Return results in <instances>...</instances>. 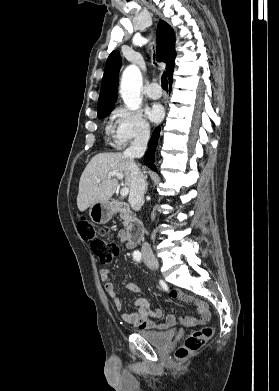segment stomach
Instances as JSON below:
<instances>
[{"label":"stomach","instance_id":"stomach-1","mask_svg":"<svg viewBox=\"0 0 279 391\" xmlns=\"http://www.w3.org/2000/svg\"><path fill=\"white\" fill-rule=\"evenodd\" d=\"M91 220L97 224L107 223L113 215V207L108 201L97 202L89 210Z\"/></svg>","mask_w":279,"mask_h":391}]
</instances>
